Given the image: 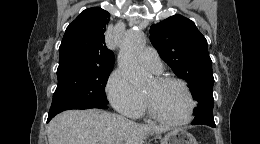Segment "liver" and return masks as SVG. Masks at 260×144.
I'll list each match as a JSON object with an SVG mask.
<instances>
[{
  "label": "liver",
  "instance_id": "liver-1",
  "mask_svg": "<svg viewBox=\"0 0 260 144\" xmlns=\"http://www.w3.org/2000/svg\"><path fill=\"white\" fill-rule=\"evenodd\" d=\"M170 128L139 124L121 115L91 109L69 110L55 116L48 125L49 144H144L149 133Z\"/></svg>",
  "mask_w": 260,
  "mask_h": 144
}]
</instances>
